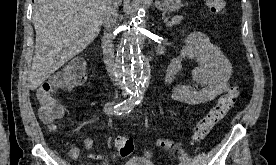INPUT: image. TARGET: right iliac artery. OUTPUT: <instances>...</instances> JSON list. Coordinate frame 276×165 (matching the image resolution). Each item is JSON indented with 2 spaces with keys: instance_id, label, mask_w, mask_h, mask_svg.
Here are the masks:
<instances>
[{
  "instance_id": "1",
  "label": "right iliac artery",
  "mask_w": 276,
  "mask_h": 165,
  "mask_svg": "<svg viewBox=\"0 0 276 165\" xmlns=\"http://www.w3.org/2000/svg\"><path fill=\"white\" fill-rule=\"evenodd\" d=\"M137 101L134 100H125L122 103L114 104V103H107L104 106V112L106 114H115V115H122L131 112L134 106L137 104Z\"/></svg>"
}]
</instances>
